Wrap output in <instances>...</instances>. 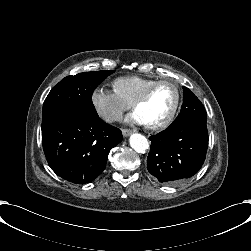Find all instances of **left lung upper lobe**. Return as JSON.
I'll use <instances>...</instances> for the list:
<instances>
[{"instance_id": "obj_1", "label": "left lung upper lobe", "mask_w": 251, "mask_h": 251, "mask_svg": "<svg viewBox=\"0 0 251 251\" xmlns=\"http://www.w3.org/2000/svg\"><path fill=\"white\" fill-rule=\"evenodd\" d=\"M190 120L207 121V113L200 100L187 87H183L181 112L171 125Z\"/></svg>"}]
</instances>
